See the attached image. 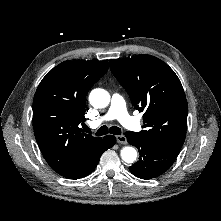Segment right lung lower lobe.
Segmentation results:
<instances>
[{
    "instance_id": "98d812e1",
    "label": "right lung lower lobe",
    "mask_w": 221,
    "mask_h": 221,
    "mask_svg": "<svg viewBox=\"0 0 221 221\" xmlns=\"http://www.w3.org/2000/svg\"><path fill=\"white\" fill-rule=\"evenodd\" d=\"M115 143V136H105L104 138H102L100 145L94 151H92L85 159H83L80 165L73 172H71L68 175H64V177L70 179H79L89 175L96 168L100 160V157L104 153V151L111 148Z\"/></svg>"
}]
</instances>
